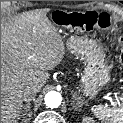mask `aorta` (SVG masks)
I'll use <instances>...</instances> for the list:
<instances>
[{"mask_svg": "<svg viewBox=\"0 0 123 123\" xmlns=\"http://www.w3.org/2000/svg\"><path fill=\"white\" fill-rule=\"evenodd\" d=\"M62 98L60 93L56 91H50L46 93L44 97V103L48 108L54 109L61 105Z\"/></svg>", "mask_w": 123, "mask_h": 123, "instance_id": "obj_1", "label": "aorta"}]
</instances>
